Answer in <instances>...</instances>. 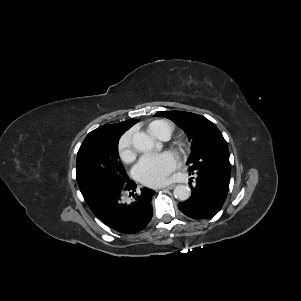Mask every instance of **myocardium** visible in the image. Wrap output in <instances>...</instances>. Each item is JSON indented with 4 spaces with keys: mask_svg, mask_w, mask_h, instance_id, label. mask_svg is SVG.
Masks as SVG:
<instances>
[{
    "mask_svg": "<svg viewBox=\"0 0 301 301\" xmlns=\"http://www.w3.org/2000/svg\"><path fill=\"white\" fill-rule=\"evenodd\" d=\"M177 149L181 154H185L188 150V146L185 142H178Z\"/></svg>",
    "mask_w": 301,
    "mask_h": 301,
    "instance_id": "f54148a6",
    "label": "myocardium"
}]
</instances>
